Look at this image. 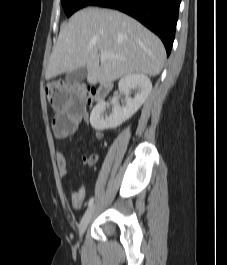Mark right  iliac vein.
<instances>
[{"instance_id":"right-iliac-vein-1","label":"right iliac vein","mask_w":227,"mask_h":265,"mask_svg":"<svg viewBox=\"0 0 227 265\" xmlns=\"http://www.w3.org/2000/svg\"><path fill=\"white\" fill-rule=\"evenodd\" d=\"M95 211V206L92 205L90 206L87 211L85 212V214L83 215L80 224H79V235L82 236L88 226V224L90 223L93 214Z\"/></svg>"}]
</instances>
